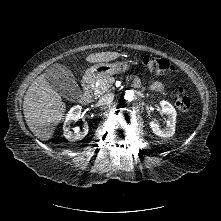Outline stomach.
Returning <instances> with one entry per match:
<instances>
[{"instance_id": "1", "label": "stomach", "mask_w": 221, "mask_h": 221, "mask_svg": "<svg viewBox=\"0 0 221 221\" xmlns=\"http://www.w3.org/2000/svg\"><path fill=\"white\" fill-rule=\"evenodd\" d=\"M130 68L129 62H115V63H101L92 66L86 72V76L90 79L96 80L112 74L125 72Z\"/></svg>"}]
</instances>
